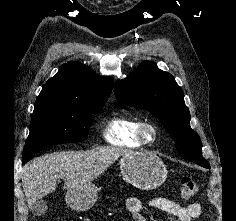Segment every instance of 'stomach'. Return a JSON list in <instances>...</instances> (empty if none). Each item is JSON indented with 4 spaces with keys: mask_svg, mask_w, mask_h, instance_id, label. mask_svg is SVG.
<instances>
[{
    "mask_svg": "<svg viewBox=\"0 0 236 221\" xmlns=\"http://www.w3.org/2000/svg\"><path fill=\"white\" fill-rule=\"evenodd\" d=\"M120 169L125 180L141 190H153L161 186L168 173L163 161L149 151L125 154L120 160ZM65 198L72 209L85 211L96 202L97 188L91 183L70 189Z\"/></svg>",
    "mask_w": 236,
    "mask_h": 221,
    "instance_id": "stomach-1",
    "label": "stomach"
}]
</instances>
